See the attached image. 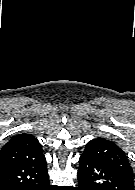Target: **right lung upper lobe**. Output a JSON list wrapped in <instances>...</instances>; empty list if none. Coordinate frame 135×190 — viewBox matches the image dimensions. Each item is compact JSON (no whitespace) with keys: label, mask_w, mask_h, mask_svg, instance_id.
<instances>
[{"label":"right lung upper lobe","mask_w":135,"mask_h":190,"mask_svg":"<svg viewBox=\"0 0 135 190\" xmlns=\"http://www.w3.org/2000/svg\"><path fill=\"white\" fill-rule=\"evenodd\" d=\"M42 146L29 134H19L11 138L0 150V163L13 160L35 159L42 156Z\"/></svg>","instance_id":"cb5924a9"}]
</instances>
